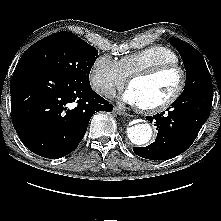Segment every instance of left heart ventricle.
Segmentation results:
<instances>
[{"instance_id":"obj_1","label":"left heart ventricle","mask_w":221,"mask_h":221,"mask_svg":"<svg viewBox=\"0 0 221 221\" xmlns=\"http://www.w3.org/2000/svg\"><path fill=\"white\" fill-rule=\"evenodd\" d=\"M179 73L167 71L150 78L134 80L130 88L134 91L138 104L153 106L165 101L177 89Z\"/></svg>"}]
</instances>
